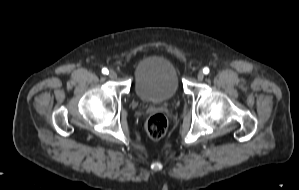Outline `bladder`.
<instances>
[{
    "mask_svg": "<svg viewBox=\"0 0 299 190\" xmlns=\"http://www.w3.org/2000/svg\"><path fill=\"white\" fill-rule=\"evenodd\" d=\"M135 95L148 102H165L180 90L179 70L169 56L153 53L141 62L133 80Z\"/></svg>",
    "mask_w": 299,
    "mask_h": 190,
    "instance_id": "31cf9c89",
    "label": "bladder"
}]
</instances>
